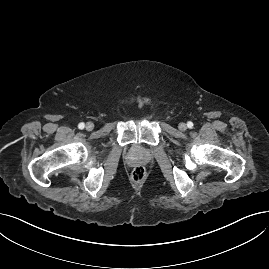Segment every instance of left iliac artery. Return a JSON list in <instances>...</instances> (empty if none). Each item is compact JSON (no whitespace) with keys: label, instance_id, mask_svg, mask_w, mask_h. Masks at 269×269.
I'll return each instance as SVG.
<instances>
[{"label":"left iliac artery","instance_id":"44dca946","mask_svg":"<svg viewBox=\"0 0 269 269\" xmlns=\"http://www.w3.org/2000/svg\"><path fill=\"white\" fill-rule=\"evenodd\" d=\"M187 126H188V128H193V123L191 122V121H189V122H187Z\"/></svg>","mask_w":269,"mask_h":269}]
</instances>
